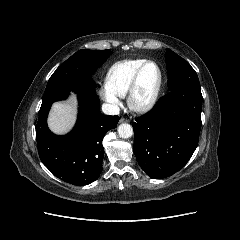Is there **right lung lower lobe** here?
<instances>
[{"mask_svg":"<svg viewBox=\"0 0 240 240\" xmlns=\"http://www.w3.org/2000/svg\"><path fill=\"white\" fill-rule=\"evenodd\" d=\"M61 94L42 101L36 125L38 153L42 163L58 178L73 184L94 182L102 171L105 134L114 129L118 116L100 112L96 92L78 94L79 115L74 129L65 136L53 134L47 126V115L53 102L65 99Z\"/></svg>","mask_w":240,"mask_h":240,"instance_id":"98d812e1","label":"right lung lower lobe"}]
</instances>
